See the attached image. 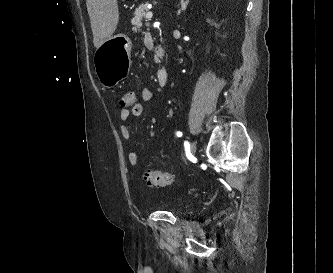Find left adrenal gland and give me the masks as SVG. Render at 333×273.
Returning a JSON list of instances; mask_svg holds the SVG:
<instances>
[{
    "instance_id": "a2214340",
    "label": "left adrenal gland",
    "mask_w": 333,
    "mask_h": 273,
    "mask_svg": "<svg viewBox=\"0 0 333 273\" xmlns=\"http://www.w3.org/2000/svg\"><path fill=\"white\" fill-rule=\"evenodd\" d=\"M188 3H189V0H181V2H180V6H181L180 10H186Z\"/></svg>"
}]
</instances>
